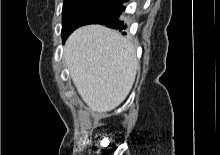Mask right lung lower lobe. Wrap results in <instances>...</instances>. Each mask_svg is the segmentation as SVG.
Wrapping results in <instances>:
<instances>
[{"instance_id": "1", "label": "right lung lower lobe", "mask_w": 220, "mask_h": 155, "mask_svg": "<svg viewBox=\"0 0 220 155\" xmlns=\"http://www.w3.org/2000/svg\"><path fill=\"white\" fill-rule=\"evenodd\" d=\"M125 10V7L122 4L118 5L117 7L108 10L105 13H102L92 20H90L87 24H102L110 28L114 29H125L124 23L119 21V16L122 11Z\"/></svg>"}]
</instances>
